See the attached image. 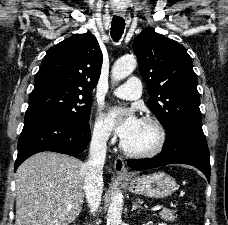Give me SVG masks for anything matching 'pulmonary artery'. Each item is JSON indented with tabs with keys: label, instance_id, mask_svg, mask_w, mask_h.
<instances>
[{
	"label": "pulmonary artery",
	"instance_id": "e3ab8cb5",
	"mask_svg": "<svg viewBox=\"0 0 228 225\" xmlns=\"http://www.w3.org/2000/svg\"><path fill=\"white\" fill-rule=\"evenodd\" d=\"M138 80L136 77L131 78L130 85H122L113 90V94L121 99L125 100H132L138 97V94L142 93L140 89L141 81Z\"/></svg>",
	"mask_w": 228,
	"mask_h": 225
}]
</instances>
